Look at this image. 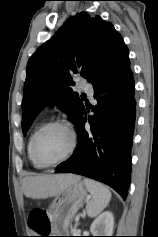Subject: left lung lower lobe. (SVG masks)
Returning <instances> with one entry per match:
<instances>
[{
    "mask_svg": "<svg viewBox=\"0 0 158 237\" xmlns=\"http://www.w3.org/2000/svg\"><path fill=\"white\" fill-rule=\"evenodd\" d=\"M97 105L88 118L85 108L76 126L78 144L56 172L83 175L105 183L125 200L131 180V149L136 118L134 78L130 61L94 87Z\"/></svg>",
    "mask_w": 158,
    "mask_h": 237,
    "instance_id": "1",
    "label": "left lung lower lobe"
}]
</instances>
